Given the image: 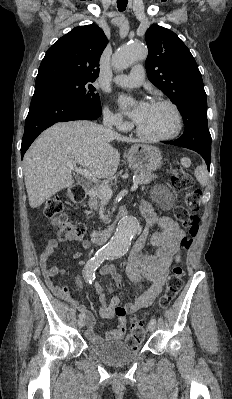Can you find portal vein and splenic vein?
I'll list each match as a JSON object with an SVG mask.
<instances>
[{
  "mask_svg": "<svg viewBox=\"0 0 232 399\" xmlns=\"http://www.w3.org/2000/svg\"><path fill=\"white\" fill-rule=\"evenodd\" d=\"M76 162H69V168L71 170H75L77 174H80V176H83V178H87V180H91V182H94L98 188H100L101 192L105 194L106 198H111L113 192L108 188V186H105V184H98L97 178H94L93 174L91 172H88V170H81V168H75ZM137 190V184H134L131 188V192H135Z\"/></svg>",
  "mask_w": 232,
  "mask_h": 399,
  "instance_id": "1",
  "label": "portal vein and splenic vein"
}]
</instances>
